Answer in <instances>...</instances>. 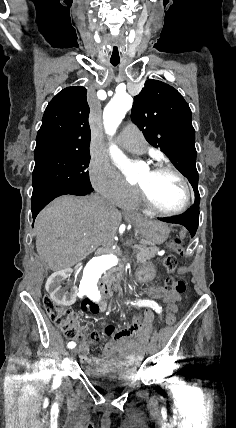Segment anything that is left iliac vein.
I'll use <instances>...</instances> for the list:
<instances>
[{
    "label": "left iliac vein",
    "mask_w": 236,
    "mask_h": 428,
    "mask_svg": "<svg viewBox=\"0 0 236 428\" xmlns=\"http://www.w3.org/2000/svg\"><path fill=\"white\" fill-rule=\"evenodd\" d=\"M156 344H157V341H156V340H153V341L151 342L150 349H151V350H154V349H155V347H156ZM152 354H155V351H152Z\"/></svg>",
    "instance_id": "1"
}]
</instances>
